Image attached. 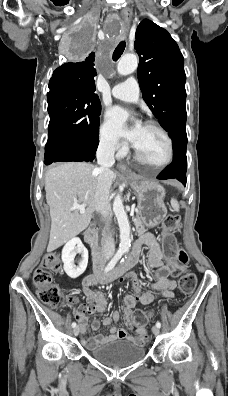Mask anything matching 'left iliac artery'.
Segmentation results:
<instances>
[{
    "instance_id": "obj_1",
    "label": "left iliac artery",
    "mask_w": 228,
    "mask_h": 396,
    "mask_svg": "<svg viewBox=\"0 0 228 396\" xmlns=\"http://www.w3.org/2000/svg\"><path fill=\"white\" fill-rule=\"evenodd\" d=\"M121 262H124V259H122ZM156 326H157L158 328H160V327H161V323L158 321V322L156 323Z\"/></svg>"
}]
</instances>
